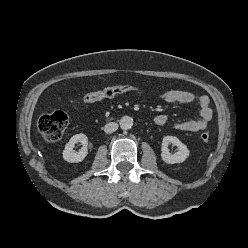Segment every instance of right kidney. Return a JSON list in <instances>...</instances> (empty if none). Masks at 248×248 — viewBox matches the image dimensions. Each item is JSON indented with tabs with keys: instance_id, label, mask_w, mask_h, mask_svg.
I'll list each match as a JSON object with an SVG mask.
<instances>
[{
	"instance_id": "right-kidney-1",
	"label": "right kidney",
	"mask_w": 248,
	"mask_h": 248,
	"mask_svg": "<svg viewBox=\"0 0 248 248\" xmlns=\"http://www.w3.org/2000/svg\"><path fill=\"white\" fill-rule=\"evenodd\" d=\"M78 142H81L83 146L79 150V152H75L73 148L74 145ZM87 145H88V138L86 135L82 133L74 135L65 145V148L63 150L64 160L70 163L81 162L88 154Z\"/></svg>"
}]
</instances>
